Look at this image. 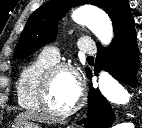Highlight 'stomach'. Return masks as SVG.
I'll return each instance as SVG.
<instances>
[{"instance_id":"stomach-1","label":"stomach","mask_w":142,"mask_h":128,"mask_svg":"<svg viewBox=\"0 0 142 128\" xmlns=\"http://www.w3.org/2000/svg\"><path fill=\"white\" fill-rule=\"evenodd\" d=\"M14 128H41L40 125H38L35 122L29 121V120H25L19 123H16L14 125Z\"/></svg>"}]
</instances>
